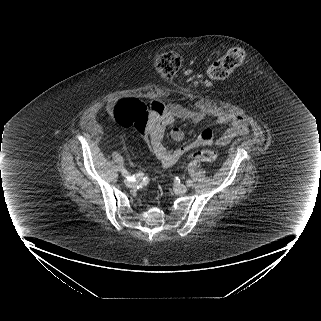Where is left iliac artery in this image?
Listing matches in <instances>:
<instances>
[{
	"instance_id": "left-iliac-artery-1",
	"label": "left iliac artery",
	"mask_w": 321,
	"mask_h": 321,
	"mask_svg": "<svg viewBox=\"0 0 321 321\" xmlns=\"http://www.w3.org/2000/svg\"><path fill=\"white\" fill-rule=\"evenodd\" d=\"M186 185H187L188 187H191V186H193V182H192L191 180H187V181H186Z\"/></svg>"
}]
</instances>
